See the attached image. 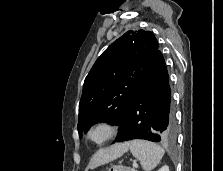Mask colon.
<instances>
[{"label":"colon","mask_w":223,"mask_h":171,"mask_svg":"<svg viewBox=\"0 0 223 171\" xmlns=\"http://www.w3.org/2000/svg\"><path fill=\"white\" fill-rule=\"evenodd\" d=\"M106 171H131V170L126 166L116 165L108 168Z\"/></svg>","instance_id":"obj_1"}]
</instances>
